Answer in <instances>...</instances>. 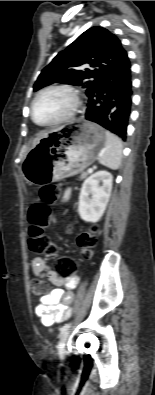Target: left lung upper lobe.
<instances>
[{
	"label": "left lung upper lobe",
	"instance_id": "obj_1",
	"mask_svg": "<svg viewBox=\"0 0 155 395\" xmlns=\"http://www.w3.org/2000/svg\"><path fill=\"white\" fill-rule=\"evenodd\" d=\"M126 56L127 52L116 35L103 27H91L42 70L34 90L60 82L82 86L89 96L102 77Z\"/></svg>",
	"mask_w": 155,
	"mask_h": 395
}]
</instances>
